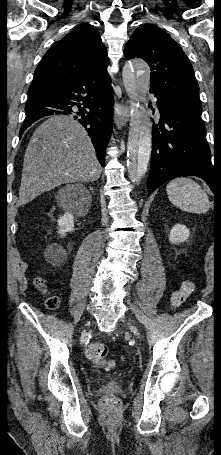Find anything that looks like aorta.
Wrapping results in <instances>:
<instances>
[{
    "instance_id": "aorta-1",
    "label": "aorta",
    "mask_w": 221,
    "mask_h": 455,
    "mask_svg": "<svg viewBox=\"0 0 221 455\" xmlns=\"http://www.w3.org/2000/svg\"><path fill=\"white\" fill-rule=\"evenodd\" d=\"M122 79L130 98L127 169L131 178L140 180L147 172L152 149L151 123L140 110L149 90V66L141 59L130 60L123 67Z\"/></svg>"
}]
</instances>
